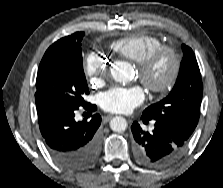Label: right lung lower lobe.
Returning a JSON list of instances; mask_svg holds the SVG:
<instances>
[{"instance_id":"obj_1","label":"right lung lower lobe","mask_w":223,"mask_h":188,"mask_svg":"<svg viewBox=\"0 0 223 188\" xmlns=\"http://www.w3.org/2000/svg\"><path fill=\"white\" fill-rule=\"evenodd\" d=\"M81 106L56 101H36L38 122L46 147L52 158L63 168L81 170L93 164L100 153L98 128L101 116L75 121V111ZM95 110V105L84 104Z\"/></svg>"}]
</instances>
